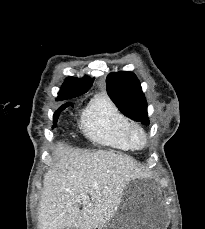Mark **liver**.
<instances>
[{
  "instance_id": "1",
  "label": "liver",
  "mask_w": 205,
  "mask_h": 229,
  "mask_svg": "<svg viewBox=\"0 0 205 229\" xmlns=\"http://www.w3.org/2000/svg\"><path fill=\"white\" fill-rule=\"evenodd\" d=\"M54 157L56 162L43 180L40 229L102 226L115 214L124 189L139 172L133 158L106 150H71L59 143Z\"/></svg>"
}]
</instances>
